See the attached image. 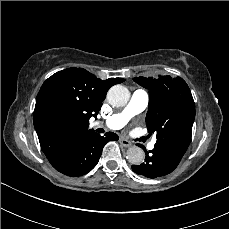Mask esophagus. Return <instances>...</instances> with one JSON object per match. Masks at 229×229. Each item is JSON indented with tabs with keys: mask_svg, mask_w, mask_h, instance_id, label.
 Wrapping results in <instances>:
<instances>
[{
	"mask_svg": "<svg viewBox=\"0 0 229 229\" xmlns=\"http://www.w3.org/2000/svg\"><path fill=\"white\" fill-rule=\"evenodd\" d=\"M119 143L123 146V147H130L132 144H131V142L129 141V140H127V139H125V138H123V137H121L120 139H119Z\"/></svg>",
	"mask_w": 229,
	"mask_h": 229,
	"instance_id": "obj_1",
	"label": "esophagus"
}]
</instances>
